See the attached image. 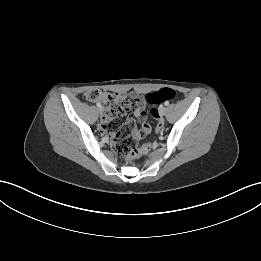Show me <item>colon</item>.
<instances>
[{
	"label": "colon",
	"instance_id": "obj_1",
	"mask_svg": "<svg viewBox=\"0 0 261 261\" xmlns=\"http://www.w3.org/2000/svg\"><path fill=\"white\" fill-rule=\"evenodd\" d=\"M85 98L90 102L101 101L104 103L105 114L101 126L105 133L113 137V148L118 155L127 159H133L149 150V146H139L137 143L143 130H136L135 124L131 119L134 107L128 98L99 89L89 90L86 92ZM175 98L176 92L170 88H164L145 96V100L151 104ZM151 115L158 119L159 127L155 135L159 136L164 128V119L162 116H159V112L155 108L151 110Z\"/></svg>",
	"mask_w": 261,
	"mask_h": 261
}]
</instances>
